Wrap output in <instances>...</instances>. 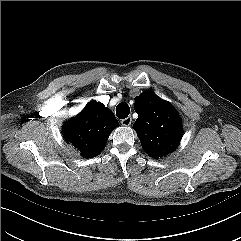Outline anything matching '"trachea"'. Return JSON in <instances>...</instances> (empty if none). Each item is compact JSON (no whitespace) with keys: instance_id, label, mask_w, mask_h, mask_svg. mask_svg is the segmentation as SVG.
Returning <instances> with one entry per match:
<instances>
[{"instance_id":"obj_1","label":"trachea","mask_w":241,"mask_h":241,"mask_svg":"<svg viewBox=\"0 0 241 241\" xmlns=\"http://www.w3.org/2000/svg\"><path fill=\"white\" fill-rule=\"evenodd\" d=\"M129 113H130V108L127 103L122 102L117 105L116 115L118 118L125 119L128 117Z\"/></svg>"}]
</instances>
